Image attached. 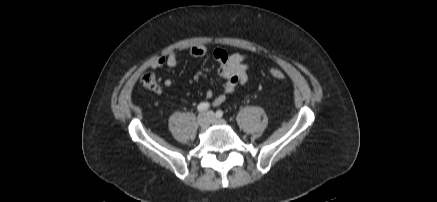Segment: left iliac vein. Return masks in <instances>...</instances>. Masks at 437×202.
Instances as JSON below:
<instances>
[{"mask_svg":"<svg viewBox=\"0 0 437 202\" xmlns=\"http://www.w3.org/2000/svg\"><path fill=\"white\" fill-rule=\"evenodd\" d=\"M207 115L209 116L210 122L212 124H215V125H226V121L216 117V115L212 111L207 112Z\"/></svg>","mask_w":437,"mask_h":202,"instance_id":"left-iliac-vein-1","label":"left iliac vein"}]
</instances>
